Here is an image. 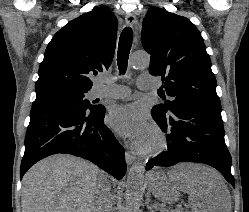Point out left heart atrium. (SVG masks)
<instances>
[{
    "instance_id": "left-heart-atrium-1",
    "label": "left heart atrium",
    "mask_w": 249,
    "mask_h": 212,
    "mask_svg": "<svg viewBox=\"0 0 249 212\" xmlns=\"http://www.w3.org/2000/svg\"><path fill=\"white\" fill-rule=\"evenodd\" d=\"M108 124L118 134L128 138L135 148L145 147L149 126L136 105L115 106L109 113Z\"/></svg>"
}]
</instances>
